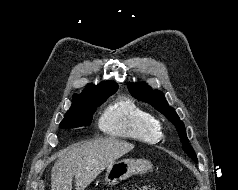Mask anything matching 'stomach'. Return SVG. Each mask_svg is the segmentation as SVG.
Listing matches in <instances>:
<instances>
[{
	"mask_svg": "<svg viewBox=\"0 0 238 190\" xmlns=\"http://www.w3.org/2000/svg\"><path fill=\"white\" fill-rule=\"evenodd\" d=\"M152 169V164L146 159L117 160L107 167L105 181L109 185H116L134 174H143Z\"/></svg>",
	"mask_w": 238,
	"mask_h": 190,
	"instance_id": "0dacf381",
	"label": "stomach"
}]
</instances>
